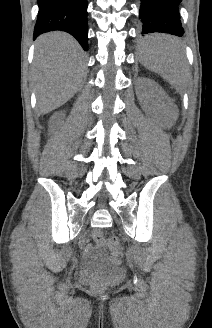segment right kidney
<instances>
[{
	"label": "right kidney",
	"instance_id": "obj_1",
	"mask_svg": "<svg viewBox=\"0 0 212 328\" xmlns=\"http://www.w3.org/2000/svg\"><path fill=\"white\" fill-rule=\"evenodd\" d=\"M63 117L62 112L54 113L53 116L50 118V128H53L56 124H58Z\"/></svg>",
	"mask_w": 212,
	"mask_h": 328
}]
</instances>
